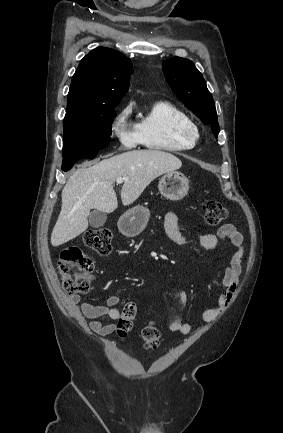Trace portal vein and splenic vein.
I'll list each match as a JSON object with an SVG mask.
<instances>
[{"label": "portal vein and splenic vein", "mask_w": 283, "mask_h": 433, "mask_svg": "<svg viewBox=\"0 0 283 433\" xmlns=\"http://www.w3.org/2000/svg\"><path fill=\"white\" fill-rule=\"evenodd\" d=\"M124 180H128V176H119V178H116V182L120 184V182H124Z\"/></svg>", "instance_id": "obj_1"}]
</instances>
